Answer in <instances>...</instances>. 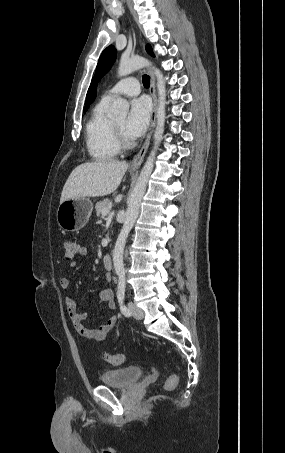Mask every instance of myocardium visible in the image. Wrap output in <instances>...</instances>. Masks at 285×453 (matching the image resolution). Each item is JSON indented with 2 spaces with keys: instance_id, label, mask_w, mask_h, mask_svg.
Listing matches in <instances>:
<instances>
[{
  "instance_id": "myocardium-1",
  "label": "myocardium",
  "mask_w": 285,
  "mask_h": 453,
  "mask_svg": "<svg viewBox=\"0 0 285 453\" xmlns=\"http://www.w3.org/2000/svg\"><path fill=\"white\" fill-rule=\"evenodd\" d=\"M115 135L121 149H128L134 145V141L127 136L122 129L113 121Z\"/></svg>"
}]
</instances>
